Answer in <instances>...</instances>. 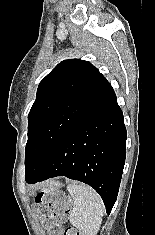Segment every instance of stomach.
<instances>
[{
  "label": "stomach",
  "instance_id": "obj_1",
  "mask_svg": "<svg viewBox=\"0 0 155 235\" xmlns=\"http://www.w3.org/2000/svg\"><path fill=\"white\" fill-rule=\"evenodd\" d=\"M61 187V184L55 181H49L45 183L42 187V191L44 192H54L57 191Z\"/></svg>",
  "mask_w": 155,
  "mask_h": 235
}]
</instances>
